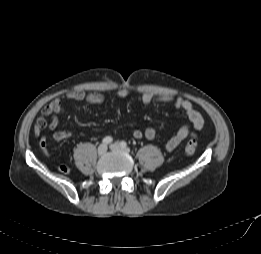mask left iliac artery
Segmentation results:
<instances>
[{
	"mask_svg": "<svg viewBox=\"0 0 261 254\" xmlns=\"http://www.w3.org/2000/svg\"><path fill=\"white\" fill-rule=\"evenodd\" d=\"M120 145H121V147H123V148H126V147H127V144H126V142H124V141H122V142L120 143Z\"/></svg>",
	"mask_w": 261,
	"mask_h": 254,
	"instance_id": "obj_1",
	"label": "left iliac artery"
}]
</instances>
